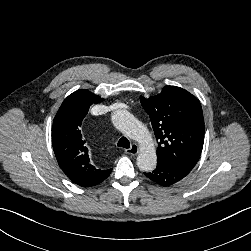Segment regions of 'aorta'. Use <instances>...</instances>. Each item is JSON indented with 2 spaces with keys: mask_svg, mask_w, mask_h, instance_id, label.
<instances>
[{
  "mask_svg": "<svg viewBox=\"0 0 251 251\" xmlns=\"http://www.w3.org/2000/svg\"><path fill=\"white\" fill-rule=\"evenodd\" d=\"M111 119L119 131L139 142L141 146V152L137 157L139 169L145 172L153 171L156 167L157 155L153 138L148 129L126 110H116Z\"/></svg>",
  "mask_w": 251,
  "mask_h": 251,
  "instance_id": "1",
  "label": "aorta"
}]
</instances>
